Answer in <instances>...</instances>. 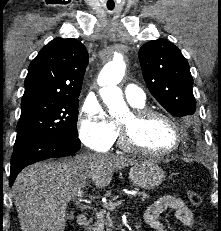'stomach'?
<instances>
[{
	"mask_svg": "<svg viewBox=\"0 0 221 231\" xmlns=\"http://www.w3.org/2000/svg\"><path fill=\"white\" fill-rule=\"evenodd\" d=\"M129 178L140 188L154 189L163 182L165 172L155 161L143 160L131 167Z\"/></svg>",
	"mask_w": 221,
	"mask_h": 231,
	"instance_id": "obj_1",
	"label": "stomach"
}]
</instances>
